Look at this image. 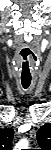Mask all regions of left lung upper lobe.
Masks as SVG:
<instances>
[{"label": "left lung upper lobe", "instance_id": "left-lung-upper-lobe-1", "mask_svg": "<svg viewBox=\"0 0 51 150\" xmlns=\"http://www.w3.org/2000/svg\"><path fill=\"white\" fill-rule=\"evenodd\" d=\"M36 138L42 150H47L51 147V124L46 123L41 126L36 134Z\"/></svg>", "mask_w": 51, "mask_h": 150}]
</instances>
